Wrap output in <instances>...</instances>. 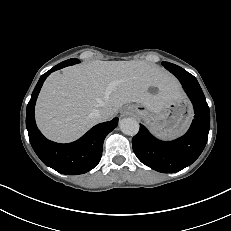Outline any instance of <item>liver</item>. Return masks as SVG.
<instances>
[{
	"mask_svg": "<svg viewBox=\"0 0 231 231\" xmlns=\"http://www.w3.org/2000/svg\"><path fill=\"white\" fill-rule=\"evenodd\" d=\"M151 87L158 92L151 94ZM180 96L177 80L164 68L143 61L96 60L52 73L40 91L35 116L47 138L71 142L99 123L97 110L114 115L136 102L158 113Z\"/></svg>",
	"mask_w": 231,
	"mask_h": 231,
	"instance_id": "1",
	"label": "liver"
}]
</instances>
